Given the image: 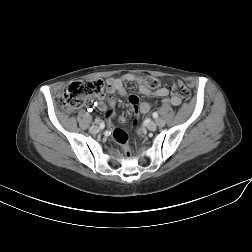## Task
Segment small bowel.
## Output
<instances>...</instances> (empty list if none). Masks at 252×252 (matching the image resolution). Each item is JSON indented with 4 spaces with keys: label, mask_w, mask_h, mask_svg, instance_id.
Here are the masks:
<instances>
[{
    "label": "small bowel",
    "mask_w": 252,
    "mask_h": 252,
    "mask_svg": "<svg viewBox=\"0 0 252 252\" xmlns=\"http://www.w3.org/2000/svg\"><path fill=\"white\" fill-rule=\"evenodd\" d=\"M125 83H136L138 85L139 92L144 96H149L152 93L148 87L142 84L140 77L135 74L127 73L118 78H109L107 80V92L109 96L106 98V102L104 101V97L101 96L100 101L97 103L98 109L101 112H105L109 120L115 117L116 114L113 108L116 104V100L112 94L118 93L119 95L124 96L126 94ZM154 94L157 97L164 98V103L166 104H171L173 106H178L181 104V99L177 96L173 95L167 98L169 95V90L167 88H158ZM129 101L134 107L137 108V111L142 114H146L150 110V105L147 102H141L137 96H130ZM108 106H110V108H108ZM122 118L124 117L121 116L119 120ZM109 120L108 127L112 128Z\"/></svg>",
    "instance_id": "obj_1"
}]
</instances>
